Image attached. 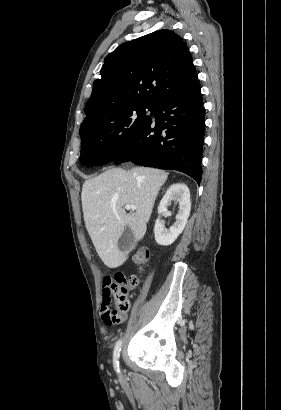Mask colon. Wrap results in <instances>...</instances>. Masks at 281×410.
<instances>
[{"label":"colon","instance_id":"colon-1","mask_svg":"<svg viewBox=\"0 0 281 410\" xmlns=\"http://www.w3.org/2000/svg\"><path fill=\"white\" fill-rule=\"evenodd\" d=\"M149 249L147 246H141L134 255V262L143 265L149 259ZM138 285L136 276H125L122 273H116L110 286V296H112L115 308L109 309L104 315V321L113 325L121 321V315L130 310L131 301L130 293Z\"/></svg>","mask_w":281,"mask_h":410}]
</instances>
